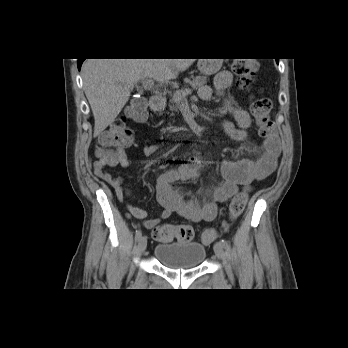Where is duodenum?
<instances>
[{"label":"duodenum","mask_w":348,"mask_h":348,"mask_svg":"<svg viewBox=\"0 0 348 348\" xmlns=\"http://www.w3.org/2000/svg\"><path fill=\"white\" fill-rule=\"evenodd\" d=\"M165 104L164 99L161 96H153L150 100V108L153 111H160L163 109Z\"/></svg>","instance_id":"1"}]
</instances>
